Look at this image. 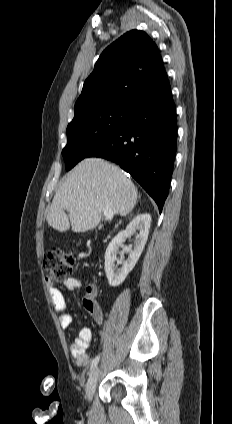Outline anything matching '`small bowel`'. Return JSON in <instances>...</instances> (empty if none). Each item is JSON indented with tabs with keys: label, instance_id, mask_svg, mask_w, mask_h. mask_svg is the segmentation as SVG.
I'll list each match as a JSON object with an SVG mask.
<instances>
[{
	"label": "small bowel",
	"instance_id": "1",
	"mask_svg": "<svg viewBox=\"0 0 232 424\" xmlns=\"http://www.w3.org/2000/svg\"><path fill=\"white\" fill-rule=\"evenodd\" d=\"M64 287L69 291H74L82 287V282L78 278L70 277L64 281ZM85 290L88 298L85 299L84 306L94 320L98 324H102L103 313L99 304L94 300V297L98 292L97 286L95 284H90L86 286ZM49 294L54 307L59 312L60 325L63 328L69 327L72 322V316L67 312L66 300L63 292L56 287H51L49 289ZM91 341L92 331L90 328L85 327L79 331L74 343L70 346L71 355L75 359V362L80 366H86L90 362L87 349L90 346Z\"/></svg>",
	"mask_w": 232,
	"mask_h": 424
}]
</instances>
